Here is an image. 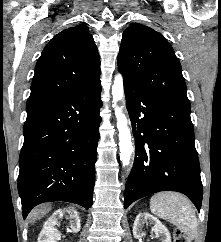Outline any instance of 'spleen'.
Wrapping results in <instances>:
<instances>
[{"instance_id":"spleen-1","label":"spleen","mask_w":221,"mask_h":242,"mask_svg":"<svg viewBox=\"0 0 221 242\" xmlns=\"http://www.w3.org/2000/svg\"><path fill=\"white\" fill-rule=\"evenodd\" d=\"M151 212L181 229L189 239L197 237V218L190 200L180 193L161 192L150 199Z\"/></svg>"}]
</instances>
